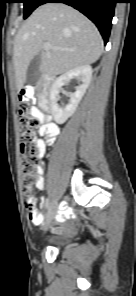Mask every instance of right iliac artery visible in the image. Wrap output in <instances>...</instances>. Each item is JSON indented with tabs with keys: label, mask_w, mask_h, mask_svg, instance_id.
Segmentation results:
<instances>
[{
	"label": "right iliac artery",
	"mask_w": 136,
	"mask_h": 296,
	"mask_svg": "<svg viewBox=\"0 0 136 296\" xmlns=\"http://www.w3.org/2000/svg\"><path fill=\"white\" fill-rule=\"evenodd\" d=\"M53 202V197L49 196V199H47L46 208L48 209L50 204Z\"/></svg>",
	"instance_id": "82829eb1"
}]
</instances>
